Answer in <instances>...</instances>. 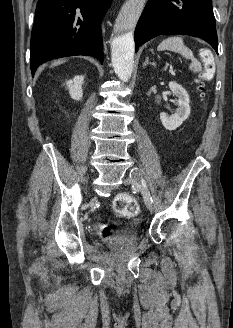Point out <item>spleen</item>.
<instances>
[{
	"mask_svg": "<svg viewBox=\"0 0 233 328\" xmlns=\"http://www.w3.org/2000/svg\"><path fill=\"white\" fill-rule=\"evenodd\" d=\"M158 51L169 50L182 55L186 60H190L189 69L194 73L202 70L201 63L194 57L193 52L184 45L182 37L174 36L163 40L159 46Z\"/></svg>",
	"mask_w": 233,
	"mask_h": 328,
	"instance_id": "obj_1",
	"label": "spleen"
}]
</instances>
